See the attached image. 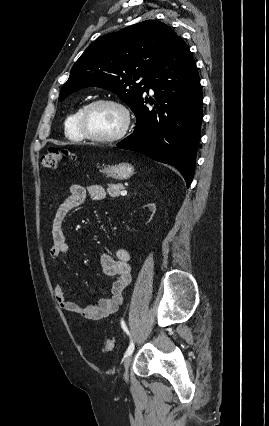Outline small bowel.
<instances>
[{"label": "small bowel", "mask_w": 269, "mask_h": 426, "mask_svg": "<svg viewBox=\"0 0 269 426\" xmlns=\"http://www.w3.org/2000/svg\"><path fill=\"white\" fill-rule=\"evenodd\" d=\"M87 195L94 200H103L106 197V191L101 185L84 187L74 184L70 187L69 195L59 205L51 230L53 244L50 255L53 259H59L69 251L63 225L68 215L84 202ZM100 264L103 274L114 279L110 296L99 298L93 304H80L68 299L63 284L55 281L54 296L61 310L91 320H100L119 311L123 303L124 289L131 281L130 253L124 248L117 249L114 255L103 253Z\"/></svg>", "instance_id": "small-bowel-1"}]
</instances>
